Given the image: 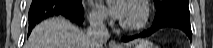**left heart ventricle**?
Listing matches in <instances>:
<instances>
[{"instance_id":"1","label":"left heart ventricle","mask_w":213,"mask_h":48,"mask_svg":"<svg viewBox=\"0 0 213 48\" xmlns=\"http://www.w3.org/2000/svg\"><path fill=\"white\" fill-rule=\"evenodd\" d=\"M141 17L142 13L137 7L128 5L123 21L128 24H134L137 23L141 19Z\"/></svg>"}]
</instances>
